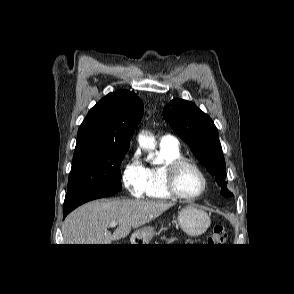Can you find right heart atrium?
I'll return each mask as SVG.
<instances>
[{
    "instance_id": "right-heart-atrium-1",
    "label": "right heart atrium",
    "mask_w": 294,
    "mask_h": 294,
    "mask_svg": "<svg viewBox=\"0 0 294 294\" xmlns=\"http://www.w3.org/2000/svg\"><path fill=\"white\" fill-rule=\"evenodd\" d=\"M146 167L138 150H134L122 166L121 181L132 197H142L145 194Z\"/></svg>"
}]
</instances>
